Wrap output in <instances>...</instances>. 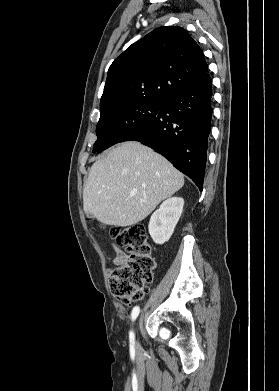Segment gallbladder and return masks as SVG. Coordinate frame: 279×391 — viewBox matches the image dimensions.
<instances>
[{
  "label": "gallbladder",
  "instance_id": "obj_1",
  "mask_svg": "<svg viewBox=\"0 0 279 391\" xmlns=\"http://www.w3.org/2000/svg\"><path fill=\"white\" fill-rule=\"evenodd\" d=\"M87 216H88L89 218H92V217H93V215H92L91 213H88Z\"/></svg>",
  "mask_w": 279,
  "mask_h": 391
}]
</instances>
